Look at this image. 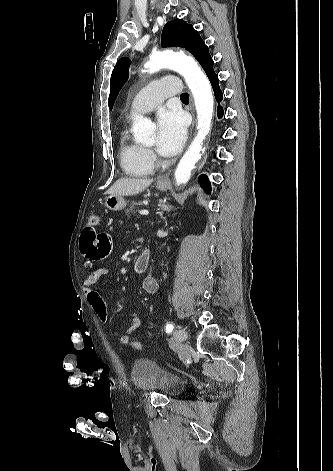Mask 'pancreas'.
Returning <instances> with one entry per match:
<instances>
[{
  "label": "pancreas",
  "mask_w": 333,
  "mask_h": 471,
  "mask_svg": "<svg viewBox=\"0 0 333 471\" xmlns=\"http://www.w3.org/2000/svg\"><path fill=\"white\" fill-rule=\"evenodd\" d=\"M136 205H142V202H141V201H139V202H132L131 205H130V207H129L128 209H126V214H127V216H129V212H130V211H133V210H134V208H135Z\"/></svg>",
  "instance_id": "pancreas-1"
}]
</instances>
